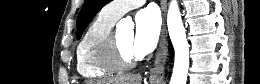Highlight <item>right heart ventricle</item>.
Listing matches in <instances>:
<instances>
[{"instance_id": "right-heart-ventricle-1", "label": "right heart ventricle", "mask_w": 260, "mask_h": 84, "mask_svg": "<svg viewBox=\"0 0 260 84\" xmlns=\"http://www.w3.org/2000/svg\"><path fill=\"white\" fill-rule=\"evenodd\" d=\"M115 22L103 9L88 26L76 51V67L82 77L100 79L116 72L108 69L101 60V44Z\"/></svg>"}]
</instances>
